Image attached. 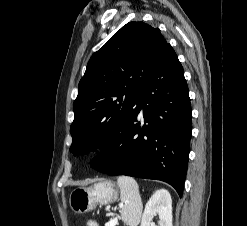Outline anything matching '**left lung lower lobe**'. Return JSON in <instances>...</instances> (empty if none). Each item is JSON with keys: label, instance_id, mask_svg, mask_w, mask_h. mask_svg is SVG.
Here are the masks:
<instances>
[{"label": "left lung lower lobe", "instance_id": "left-lung-lower-lobe-1", "mask_svg": "<svg viewBox=\"0 0 247 226\" xmlns=\"http://www.w3.org/2000/svg\"><path fill=\"white\" fill-rule=\"evenodd\" d=\"M143 109V119L137 117ZM192 110L184 71L166 44L114 141L91 162L111 176L167 182L182 196L191 138ZM137 122V123H135Z\"/></svg>", "mask_w": 247, "mask_h": 226}]
</instances>
